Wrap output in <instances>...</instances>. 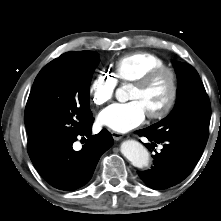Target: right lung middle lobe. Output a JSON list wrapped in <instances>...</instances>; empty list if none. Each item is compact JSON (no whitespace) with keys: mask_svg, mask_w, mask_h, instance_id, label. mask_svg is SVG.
<instances>
[{"mask_svg":"<svg viewBox=\"0 0 221 221\" xmlns=\"http://www.w3.org/2000/svg\"><path fill=\"white\" fill-rule=\"evenodd\" d=\"M97 52H68L47 64L30 92L24 122L28 143L68 140L92 118L89 90Z\"/></svg>","mask_w":221,"mask_h":221,"instance_id":"dd1d6c3e","label":"right lung middle lobe"}]
</instances>
